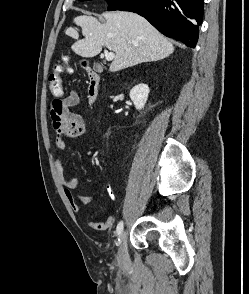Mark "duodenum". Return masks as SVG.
Instances as JSON below:
<instances>
[{"mask_svg":"<svg viewBox=\"0 0 249 294\" xmlns=\"http://www.w3.org/2000/svg\"><path fill=\"white\" fill-rule=\"evenodd\" d=\"M88 87L87 98L88 102L93 105L99 98L101 77L99 73L90 69L88 70Z\"/></svg>","mask_w":249,"mask_h":294,"instance_id":"obj_1","label":"duodenum"}]
</instances>
